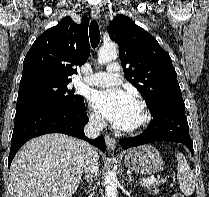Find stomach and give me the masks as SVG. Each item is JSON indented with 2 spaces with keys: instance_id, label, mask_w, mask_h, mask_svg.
I'll use <instances>...</instances> for the list:
<instances>
[{
  "instance_id": "stomach-1",
  "label": "stomach",
  "mask_w": 209,
  "mask_h": 197,
  "mask_svg": "<svg viewBox=\"0 0 209 197\" xmlns=\"http://www.w3.org/2000/svg\"><path fill=\"white\" fill-rule=\"evenodd\" d=\"M124 163L128 169L145 175L155 174L163 168L159 151L151 145L130 149L125 156Z\"/></svg>"
}]
</instances>
